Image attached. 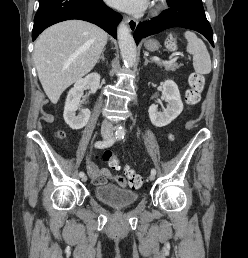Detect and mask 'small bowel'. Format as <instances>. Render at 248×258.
<instances>
[{
	"mask_svg": "<svg viewBox=\"0 0 248 258\" xmlns=\"http://www.w3.org/2000/svg\"><path fill=\"white\" fill-rule=\"evenodd\" d=\"M88 167L95 169L94 173H90L91 180L94 184H97V185L105 184L109 180L122 188L127 187L128 184L130 187H132L130 184V181L128 183L125 177L113 174L106 168L99 169L95 163L93 166H88Z\"/></svg>",
	"mask_w": 248,
	"mask_h": 258,
	"instance_id": "c3829d8e",
	"label": "small bowel"
}]
</instances>
